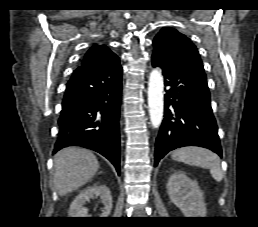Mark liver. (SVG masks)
<instances>
[{
  "label": "liver",
  "mask_w": 258,
  "mask_h": 227,
  "mask_svg": "<svg viewBox=\"0 0 258 227\" xmlns=\"http://www.w3.org/2000/svg\"><path fill=\"white\" fill-rule=\"evenodd\" d=\"M96 156L89 150L70 147L59 151L54 157V187L65 196L86 184L98 171Z\"/></svg>",
  "instance_id": "liver-1"
}]
</instances>
